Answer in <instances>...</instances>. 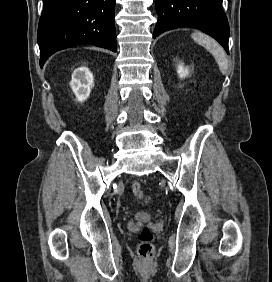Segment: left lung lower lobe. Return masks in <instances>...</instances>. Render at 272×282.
<instances>
[{
    "label": "left lung lower lobe",
    "instance_id": "1",
    "mask_svg": "<svg viewBox=\"0 0 272 282\" xmlns=\"http://www.w3.org/2000/svg\"><path fill=\"white\" fill-rule=\"evenodd\" d=\"M156 12L154 38L170 29L194 27L215 38L229 54V25L222 0H156Z\"/></svg>",
    "mask_w": 272,
    "mask_h": 282
}]
</instances>
